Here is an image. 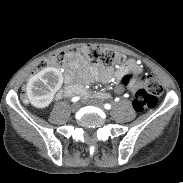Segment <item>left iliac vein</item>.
<instances>
[{"label":"left iliac vein","mask_w":183,"mask_h":183,"mask_svg":"<svg viewBox=\"0 0 183 183\" xmlns=\"http://www.w3.org/2000/svg\"><path fill=\"white\" fill-rule=\"evenodd\" d=\"M91 104H93L94 106L99 107V108H102L103 107L102 104H101V102L98 101V100H93L91 102Z\"/></svg>","instance_id":"4c4485c4"}]
</instances>
